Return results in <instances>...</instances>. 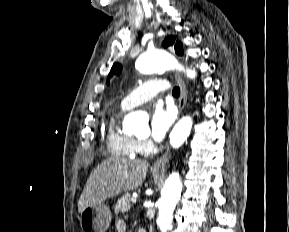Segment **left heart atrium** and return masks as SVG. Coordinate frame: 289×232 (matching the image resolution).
<instances>
[{
	"label": "left heart atrium",
	"instance_id": "obj_1",
	"mask_svg": "<svg viewBox=\"0 0 289 232\" xmlns=\"http://www.w3.org/2000/svg\"><path fill=\"white\" fill-rule=\"evenodd\" d=\"M175 120L172 108H164L157 104L154 106L150 117V133L155 141H162Z\"/></svg>",
	"mask_w": 289,
	"mask_h": 232
}]
</instances>
